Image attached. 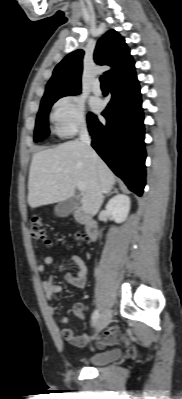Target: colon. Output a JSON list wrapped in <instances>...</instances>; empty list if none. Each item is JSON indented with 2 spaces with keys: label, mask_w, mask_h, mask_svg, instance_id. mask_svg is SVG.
<instances>
[{
  "label": "colon",
  "mask_w": 182,
  "mask_h": 399,
  "mask_svg": "<svg viewBox=\"0 0 182 399\" xmlns=\"http://www.w3.org/2000/svg\"><path fill=\"white\" fill-rule=\"evenodd\" d=\"M30 234L35 240H40L45 244L50 243L45 224L38 216L33 217L30 222ZM73 241L76 243H83L85 241V236L81 234H75L73 236Z\"/></svg>",
  "instance_id": "colon-1"
}]
</instances>
